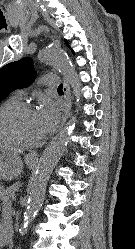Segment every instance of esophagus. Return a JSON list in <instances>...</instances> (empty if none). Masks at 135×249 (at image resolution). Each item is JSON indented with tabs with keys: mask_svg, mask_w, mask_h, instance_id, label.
Segmentation results:
<instances>
[{
	"mask_svg": "<svg viewBox=\"0 0 135 249\" xmlns=\"http://www.w3.org/2000/svg\"><path fill=\"white\" fill-rule=\"evenodd\" d=\"M63 91H64L67 107H66V111L64 113L60 128H62L64 123L66 122V120H67V118H68V116L70 114V110H71V106H72V98H71L70 87H69V83H68V81L66 79L64 80Z\"/></svg>",
	"mask_w": 135,
	"mask_h": 249,
	"instance_id": "1",
	"label": "esophagus"
}]
</instances>
